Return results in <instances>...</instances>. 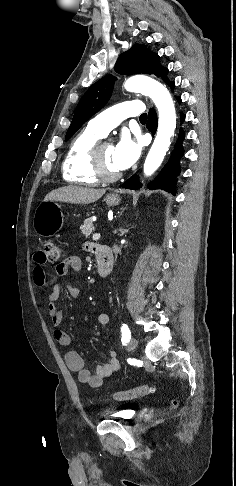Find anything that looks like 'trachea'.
<instances>
[{"mask_svg": "<svg viewBox=\"0 0 236 486\" xmlns=\"http://www.w3.org/2000/svg\"><path fill=\"white\" fill-rule=\"evenodd\" d=\"M140 120H147V114L144 113L140 116Z\"/></svg>", "mask_w": 236, "mask_h": 486, "instance_id": "3493384b", "label": "trachea"}]
</instances>
